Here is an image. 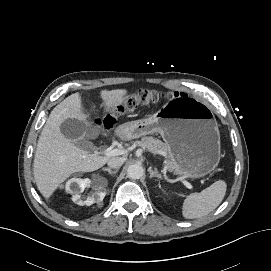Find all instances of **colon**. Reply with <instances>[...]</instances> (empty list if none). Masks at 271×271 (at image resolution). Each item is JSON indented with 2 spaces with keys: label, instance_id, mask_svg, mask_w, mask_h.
I'll return each instance as SVG.
<instances>
[{
  "label": "colon",
  "instance_id": "obj_1",
  "mask_svg": "<svg viewBox=\"0 0 271 271\" xmlns=\"http://www.w3.org/2000/svg\"><path fill=\"white\" fill-rule=\"evenodd\" d=\"M168 95L158 90H140L135 95L130 97L123 106L119 107V112L129 111L138 106L147 105L149 103L158 102ZM113 122V117H107L103 120H97L96 124L100 128H107Z\"/></svg>",
  "mask_w": 271,
  "mask_h": 271
}]
</instances>
